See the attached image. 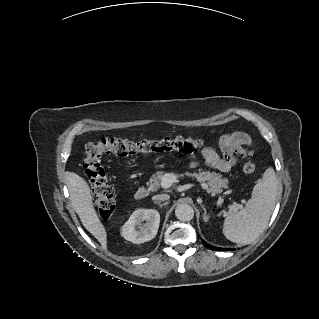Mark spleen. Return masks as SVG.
<instances>
[{"mask_svg":"<svg viewBox=\"0 0 319 319\" xmlns=\"http://www.w3.org/2000/svg\"><path fill=\"white\" fill-rule=\"evenodd\" d=\"M279 183L272 167L265 170L254 186L245 207L231 212L224 220L223 234L235 243H248L258 238L266 229L273 213Z\"/></svg>","mask_w":319,"mask_h":319,"instance_id":"3e777b00","label":"spleen"}]
</instances>
